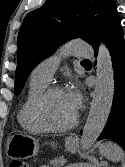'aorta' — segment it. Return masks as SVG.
I'll return each mask as SVG.
<instances>
[{
    "mask_svg": "<svg viewBox=\"0 0 125 167\" xmlns=\"http://www.w3.org/2000/svg\"><path fill=\"white\" fill-rule=\"evenodd\" d=\"M114 95V72L108 49L101 44L97 56L96 86L86 124L83 128L81 144L90 148L102 133L110 114Z\"/></svg>",
    "mask_w": 125,
    "mask_h": 167,
    "instance_id": "1",
    "label": "aorta"
}]
</instances>
